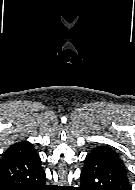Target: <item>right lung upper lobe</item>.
I'll return each mask as SVG.
<instances>
[{
  "instance_id": "1",
  "label": "right lung upper lobe",
  "mask_w": 135,
  "mask_h": 190,
  "mask_svg": "<svg viewBox=\"0 0 135 190\" xmlns=\"http://www.w3.org/2000/svg\"><path fill=\"white\" fill-rule=\"evenodd\" d=\"M36 154V150L33 146L26 141H20L10 146L3 154L2 159L13 157L32 156Z\"/></svg>"
}]
</instances>
